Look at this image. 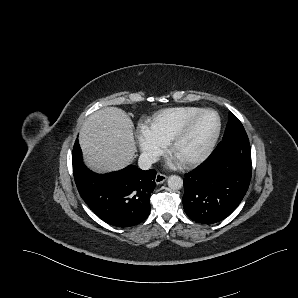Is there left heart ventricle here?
<instances>
[{"label": "left heart ventricle", "instance_id": "obj_1", "mask_svg": "<svg viewBox=\"0 0 298 298\" xmlns=\"http://www.w3.org/2000/svg\"><path fill=\"white\" fill-rule=\"evenodd\" d=\"M215 128L216 121L212 114L200 117L178 141L171 158L183 163L196 155L211 138Z\"/></svg>", "mask_w": 298, "mask_h": 298}]
</instances>
